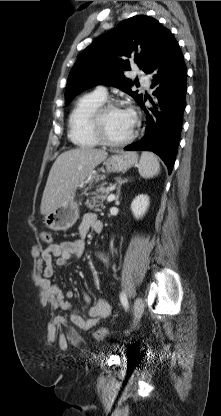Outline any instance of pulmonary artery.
Segmentation results:
<instances>
[{
  "label": "pulmonary artery",
  "instance_id": "1",
  "mask_svg": "<svg viewBox=\"0 0 221 416\" xmlns=\"http://www.w3.org/2000/svg\"><path fill=\"white\" fill-rule=\"evenodd\" d=\"M140 81L145 87H147V88L149 87V81L147 80V78L141 77ZM96 92L99 93L102 96H105V97L107 95V90L102 85L96 87Z\"/></svg>",
  "mask_w": 221,
  "mask_h": 416
}]
</instances>
